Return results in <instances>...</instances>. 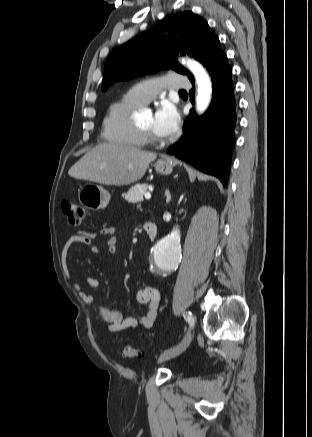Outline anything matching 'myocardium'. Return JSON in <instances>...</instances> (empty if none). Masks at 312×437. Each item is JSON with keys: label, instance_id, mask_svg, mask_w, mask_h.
<instances>
[{"label": "myocardium", "instance_id": "obj_1", "mask_svg": "<svg viewBox=\"0 0 312 437\" xmlns=\"http://www.w3.org/2000/svg\"><path fill=\"white\" fill-rule=\"evenodd\" d=\"M136 127L138 128V130L142 134L143 138L145 139V142H150V143H155V144H160V143L163 142L152 131L144 129V128L140 127V126H136Z\"/></svg>", "mask_w": 312, "mask_h": 437}]
</instances>
